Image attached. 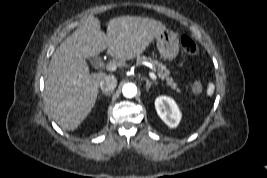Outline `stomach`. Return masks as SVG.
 <instances>
[{"instance_id": "1", "label": "stomach", "mask_w": 267, "mask_h": 178, "mask_svg": "<svg viewBox=\"0 0 267 178\" xmlns=\"http://www.w3.org/2000/svg\"><path fill=\"white\" fill-rule=\"evenodd\" d=\"M158 51L166 60H173L179 53V39L177 34L169 29L163 30L156 36Z\"/></svg>"}]
</instances>
